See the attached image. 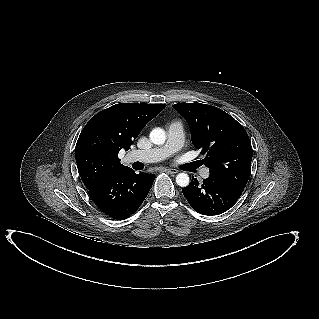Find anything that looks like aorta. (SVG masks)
<instances>
[{
    "mask_svg": "<svg viewBox=\"0 0 319 319\" xmlns=\"http://www.w3.org/2000/svg\"><path fill=\"white\" fill-rule=\"evenodd\" d=\"M150 140L152 143L156 144V145H161L164 144V142L166 141V133L162 128H154L150 135ZM176 183L177 185L181 186V187H186L189 184V176L186 173H179L176 176Z\"/></svg>",
    "mask_w": 319,
    "mask_h": 319,
    "instance_id": "1",
    "label": "aorta"
}]
</instances>
